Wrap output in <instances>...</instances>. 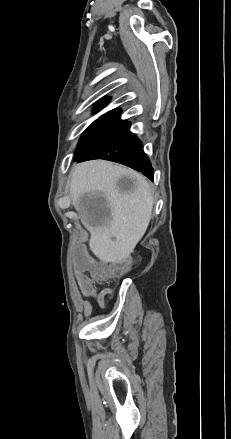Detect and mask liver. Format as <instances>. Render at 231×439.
Instances as JSON below:
<instances>
[{"mask_svg":"<svg viewBox=\"0 0 231 439\" xmlns=\"http://www.w3.org/2000/svg\"><path fill=\"white\" fill-rule=\"evenodd\" d=\"M122 176L134 181L130 192L122 193L118 189ZM96 193H101L108 205L100 216L89 217L82 198ZM70 197L90 231L89 247L93 254L104 263H117L129 257L145 234L152 215L153 192L147 179L109 161H88L73 167Z\"/></svg>","mask_w":231,"mask_h":439,"instance_id":"1","label":"liver"}]
</instances>
